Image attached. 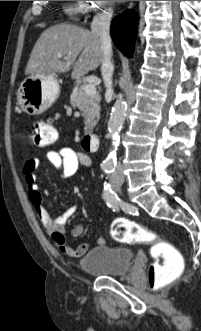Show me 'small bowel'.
Returning a JSON list of instances; mask_svg holds the SVG:
<instances>
[{
    "label": "small bowel",
    "mask_w": 201,
    "mask_h": 331,
    "mask_svg": "<svg viewBox=\"0 0 201 331\" xmlns=\"http://www.w3.org/2000/svg\"><path fill=\"white\" fill-rule=\"evenodd\" d=\"M46 157L49 163L60 173L61 177L65 179L72 177L80 164L90 165V160L86 155L66 146L48 151ZM39 166L40 160L38 158H30L24 162L22 172L27 186L28 199L45 230L51 234L58 249L67 256L81 257L88 251L89 244L83 243L73 247L68 244L65 238L66 223L76 213L78 205L69 207L62 215L53 219L43 205L42 192L36 180L35 173ZM83 233L84 227L82 225L74 226L71 231V235L74 238L81 237ZM104 242V238H98L99 244Z\"/></svg>",
    "instance_id": "obj_1"
}]
</instances>
